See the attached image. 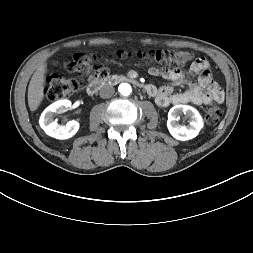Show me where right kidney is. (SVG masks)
<instances>
[{
    "label": "right kidney",
    "mask_w": 253,
    "mask_h": 253,
    "mask_svg": "<svg viewBox=\"0 0 253 253\" xmlns=\"http://www.w3.org/2000/svg\"><path fill=\"white\" fill-rule=\"evenodd\" d=\"M72 108L70 100H58L49 105L41 114L39 123L45 133L56 139H68L79 130V122L72 120L65 125H60L54 120V116Z\"/></svg>",
    "instance_id": "1"
}]
</instances>
